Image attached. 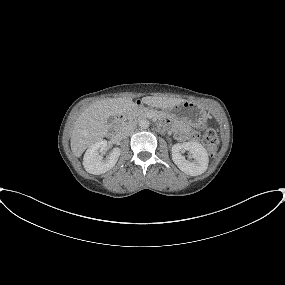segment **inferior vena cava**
I'll return each instance as SVG.
<instances>
[{"instance_id":"1","label":"inferior vena cava","mask_w":285,"mask_h":285,"mask_svg":"<svg viewBox=\"0 0 285 285\" xmlns=\"http://www.w3.org/2000/svg\"><path fill=\"white\" fill-rule=\"evenodd\" d=\"M135 128H136V125L134 123L132 122L125 123L119 128V134L122 137H126L129 134H131L135 130Z\"/></svg>"}]
</instances>
